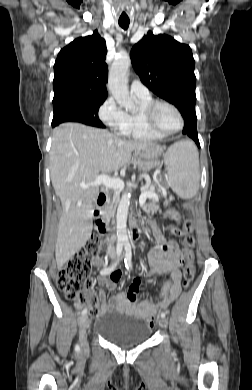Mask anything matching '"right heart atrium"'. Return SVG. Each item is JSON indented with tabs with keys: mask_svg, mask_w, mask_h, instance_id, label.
Listing matches in <instances>:
<instances>
[{
	"mask_svg": "<svg viewBox=\"0 0 252 390\" xmlns=\"http://www.w3.org/2000/svg\"><path fill=\"white\" fill-rule=\"evenodd\" d=\"M101 121L121 136H125L128 131L127 114L121 109L116 101L109 97L100 106L98 111Z\"/></svg>",
	"mask_w": 252,
	"mask_h": 390,
	"instance_id": "right-heart-atrium-1",
	"label": "right heart atrium"
}]
</instances>
